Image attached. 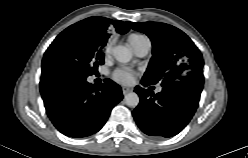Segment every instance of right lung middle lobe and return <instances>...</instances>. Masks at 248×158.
I'll return each mask as SVG.
<instances>
[{"mask_svg": "<svg viewBox=\"0 0 248 158\" xmlns=\"http://www.w3.org/2000/svg\"><path fill=\"white\" fill-rule=\"evenodd\" d=\"M103 46L86 41L74 29L66 28L46 50L41 79L68 77L86 79L104 63Z\"/></svg>", "mask_w": 248, "mask_h": 158, "instance_id": "obj_1", "label": "right lung middle lobe"}]
</instances>
